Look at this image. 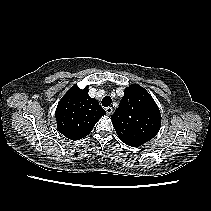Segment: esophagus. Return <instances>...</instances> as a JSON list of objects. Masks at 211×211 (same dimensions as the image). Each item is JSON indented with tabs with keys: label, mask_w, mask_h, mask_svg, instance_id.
Masks as SVG:
<instances>
[{
	"label": "esophagus",
	"mask_w": 211,
	"mask_h": 211,
	"mask_svg": "<svg viewBox=\"0 0 211 211\" xmlns=\"http://www.w3.org/2000/svg\"><path fill=\"white\" fill-rule=\"evenodd\" d=\"M105 111H106V113H107L108 115H111V114L113 113V108H112V107H107V108L105 109Z\"/></svg>",
	"instance_id": "obj_1"
}]
</instances>
